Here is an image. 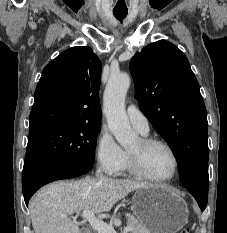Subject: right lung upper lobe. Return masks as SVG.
I'll return each instance as SVG.
<instances>
[{"instance_id":"obj_1","label":"right lung upper lobe","mask_w":227,"mask_h":233,"mask_svg":"<svg viewBox=\"0 0 227 233\" xmlns=\"http://www.w3.org/2000/svg\"><path fill=\"white\" fill-rule=\"evenodd\" d=\"M101 62L89 47L60 53L43 70L34 94L29 134L50 127L101 121Z\"/></svg>"}]
</instances>
